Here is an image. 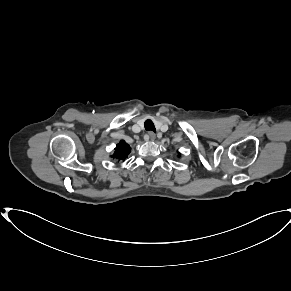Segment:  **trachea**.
<instances>
[{
    "mask_svg": "<svg viewBox=\"0 0 291 291\" xmlns=\"http://www.w3.org/2000/svg\"><path fill=\"white\" fill-rule=\"evenodd\" d=\"M144 127H145V129H146L147 131H153V132H156V128H155L153 122H152L150 119H148V120L145 121V123H144Z\"/></svg>",
    "mask_w": 291,
    "mask_h": 291,
    "instance_id": "trachea-1",
    "label": "trachea"
}]
</instances>
